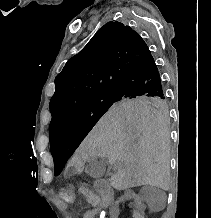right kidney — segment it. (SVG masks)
<instances>
[{"mask_svg":"<svg viewBox=\"0 0 211 218\" xmlns=\"http://www.w3.org/2000/svg\"><path fill=\"white\" fill-rule=\"evenodd\" d=\"M125 202H129L130 206H137V209H128V214H131V218H145L143 211H146V206H142L139 193H134L132 190H125L123 197H118L116 206H111L108 213L111 214L110 218H119L120 206H125Z\"/></svg>","mask_w":211,"mask_h":218,"instance_id":"ca27d5eb","label":"right kidney"}]
</instances>
